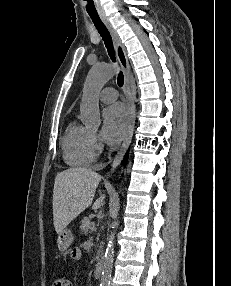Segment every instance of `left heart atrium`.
<instances>
[{
    "instance_id": "left-heart-atrium-1",
    "label": "left heart atrium",
    "mask_w": 231,
    "mask_h": 286,
    "mask_svg": "<svg viewBox=\"0 0 231 286\" xmlns=\"http://www.w3.org/2000/svg\"><path fill=\"white\" fill-rule=\"evenodd\" d=\"M129 115L120 103L113 104L103 112L102 137L108 143L119 142L126 134Z\"/></svg>"
}]
</instances>
